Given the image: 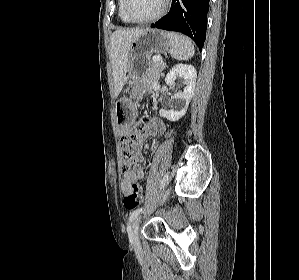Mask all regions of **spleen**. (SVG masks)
Segmentation results:
<instances>
[{
  "label": "spleen",
  "instance_id": "spleen-1",
  "mask_svg": "<svg viewBox=\"0 0 299 280\" xmlns=\"http://www.w3.org/2000/svg\"><path fill=\"white\" fill-rule=\"evenodd\" d=\"M171 57L177 60H188L195 54L191 40L178 33H168Z\"/></svg>",
  "mask_w": 299,
  "mask_h": 280
}]
</instances>
